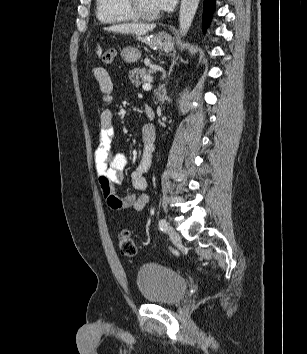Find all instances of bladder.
I'll return each mask as SVG.
<instances>
[{"label": "bladder", "instance_id": "bladder-1", "mask_svg": "<svg viewBox=\"0 0 307 354\" xmlns=\"http://www.w3.org/2000/svg\"><path fill=\"white\" fill-rule=\"evenodd\" d=\"M136 284L142 298L153 304H175L187 290V281L180 273L158 263L142 265L136 274Z\"/></svg>", "mask_w": 307, "mask_h": 354}]
</instances>
